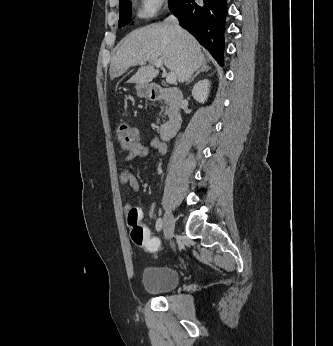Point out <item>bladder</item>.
Masks as SVG:
<instances>
[{"mask_svg":"<svg viewBox=\"0 0 333 346\" xmlns=\"http://www.w3.org/2000/svg\"><path fill=\"white\" fill-rule=\"evenodd\" d=\"M179 272L170 266L148 267L143 273V286L151 294H166L177 288Z\"/></svg>","mask_w":333,"mask_h":346,"instance_id":"bladder-1","label":"bladder"}]
</instances>
